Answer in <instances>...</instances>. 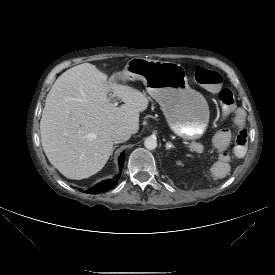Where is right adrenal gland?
Listing matches in <instances>:
<instances>
[{"label": "right adrenal gland", "mask_w": 275, "mask_h": 275, "mask_svg": "<svg viewBox=\"0 0 275 275\" xmlns=\"http://www.w3.org/2000/svg\"><path fill=\"white\" fill-rule=\"evenodd\" d=\"M116 147H117V146H114V147H113V149H112V153H113V151H114V149H115Z\"/></svg>", "instance_id": "1"}]
</instances>
